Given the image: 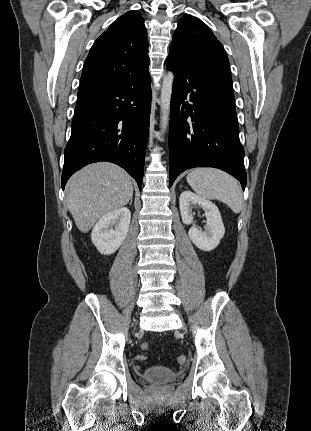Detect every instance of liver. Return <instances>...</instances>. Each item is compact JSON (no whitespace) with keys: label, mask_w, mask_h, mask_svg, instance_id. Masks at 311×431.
Segmentation results:
<instances>
[{"label":"liver","mask_w":311,"mask_h":431,"mask_svg":"<svg viewBox=\"0 0 311 431\" xmlns=\"http://www.w3.org/2000/svg\"><path fill=\"white\" fill-rule=\"evenodd\" d=\"M66 196L78 229L86 233L99 217L129 204L133 184L129 174L116 164L99 162L73 174L66 186Z\"/></svg>","instance_id":"obj_1"}]
</instances>
